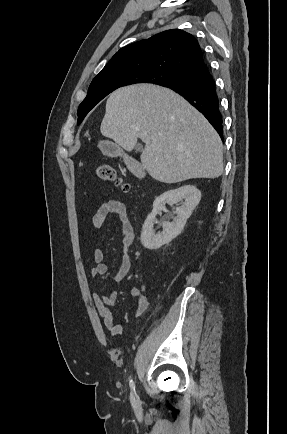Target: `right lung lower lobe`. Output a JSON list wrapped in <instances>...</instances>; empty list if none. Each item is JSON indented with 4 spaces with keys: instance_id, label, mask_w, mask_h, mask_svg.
<instances>
[{
    "instance_id": "98d812e1",
    "label": "right lung lower lobe",
    "mask_w": 287,
    "mask_h": 434,
    "mask_svg": "<svg viewBox=\"0 0 287 434\" xmlns=\"http://www.w3.org/2000/svg\"><path fill=\"white\" fill-rule=\"evenodd\" d=\"M183 96L199 110L223 139V119L214 79L206 62L186 72L166 86Z\"/></svg>"
}]
</instances>
